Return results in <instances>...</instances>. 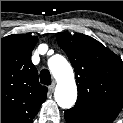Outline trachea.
<instances>
[{
  "instance_id": "obj_1",
  "label": "trachea",
  "mask_w": 123,
  "mask_h": 123,
  "mask_svg": "<svg viewBox=\"0 0 123 123\" xmlns=\"http://www.w3.org/2000/svg\"><path fill=\"white\" fill-rule=\"evenodd\" d=\"M40 80H41V83L44 85H50L51 84V75L47 69H43L40 72Z\"/></svg>"
}]
</instances>
